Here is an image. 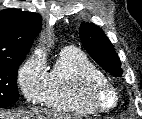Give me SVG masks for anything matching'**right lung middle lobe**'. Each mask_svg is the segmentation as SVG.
I'll use <instances>...</instances> for the list:
<instances>
[{
	"label": "right lung middle lobe",
	"mask_w": 142,
	"mask_h": 119,
	"mask_svg": "<svg viewBox=\"0 0 142 119\" xmlns=\"http://www.w3.org/2000/svg\"><path fill=\"white\" fill-rule=\"evenodd\" d=\"M24 58L19 56L0 60V108L8 107L19 99L16 78Z\"/></svg>",
	"instance_id": "right-lung-middle-lobe-1"
}]
</instances>
